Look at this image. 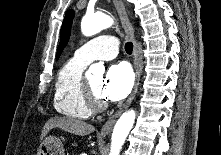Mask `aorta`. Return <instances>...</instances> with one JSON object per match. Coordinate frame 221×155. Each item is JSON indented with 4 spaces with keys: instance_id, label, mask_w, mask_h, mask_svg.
I'll use <instances>...</instances> for the list:
<instances>
[{
    "instance_id": "obj_1",
    "label": "aorta",
    "mask_w": 221,
    "mask_h": 155,
    "mask_svg": "<svg viewBox=\"0 0 221 155\" xmlns=\"http://www.w3.org/2000/svg\"><path fill=\"white\" fill-rule=\"evenodd\" d=\"M112 24V18L105 14L84 16L81 22V31L85 36H93L100 31L111 27ZM98 69L103 70V67L100 65H92L87 72V76L89 77L92 72ZM135 117V111L131 109L124 112L117 120L111 137L109 155H119L122 145L133 127Z\"/></svg>"
}]
</instances>
